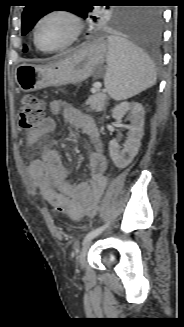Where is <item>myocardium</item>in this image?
Listing matches in <instances>:
<instances>
[{
    "label": "myocardium",
    "instance_id": "f54148a6",
    "mask_svg": "<svg viewBox=\"0 0 184 327\" xmlns=\"http://www.w3.org/2000/svg\"><path fill=\"white\" fill-rule=\"evenodd\" d=\"M52 16H62V17H65L66 19H68L72 26V34L65 43H63L62 45H60L58 47L44 48L38 42V38H37L38 28L44 20H46L47 18L52 17ZM82 32H83V24H82L80 17L76 13H74L73 11L68 10V9L57 8V9H52V10L44 13L36 21V23L34 24V27H33V41H34L35 46L40 51L46 52V53H53V52L62 51L64 49H67L68 47L72 46L80 38Z\"/></svg>",
    "mask_w": 184,
    "mask_h": 327
}]
</instances>
